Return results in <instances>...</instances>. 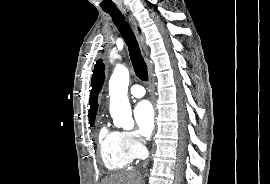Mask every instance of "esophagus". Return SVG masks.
<instances>
[{"instance_id": "1", "label": "esophagus", "mask_w": 270, "mask_h": 184, "mask_svg": "<svg viewBox=\"0 0 270 184\" xmlns=\"http://www.w3.org/2000/svg\"><path fill=\"white\" fill-rule=\"evenodd\" d=\"M129 20L131 21V23L134 26H136V23H135V20L133 19V17L129 16ZM141 44H142L143 49L146 51L143 38H141ZM147 63H148L150 93H151L152 99L154 100V86H153L152 67H151V64H150L149 60H147ZM146 164H147V162L144 163L143 167H145Z\"/></svg>"}]
</instances>
